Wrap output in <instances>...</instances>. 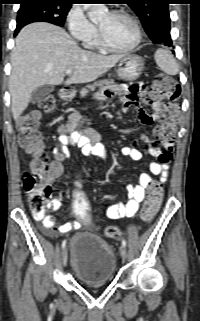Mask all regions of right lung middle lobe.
<instances>
[{"instance_id":"1","label":"right lung middle lobe","mask_w":200,"mask_h":321,"mask_svg":"<svg viewBox=\"0 0 200 321\" xmlns=\"http://www.w3.org/2000/svg\"><path fill=\"white\" fill-rule=\"evenodd\" d=\"M70 8L71 4L57 0L22 1L17 13V27L40 21L62 27Z\"/></svg>"}]
</instances>
